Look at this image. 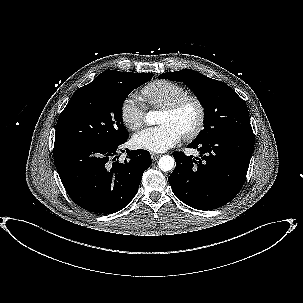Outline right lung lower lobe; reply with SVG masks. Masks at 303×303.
I'll return each instance as SVG.
<instances>
[{
    "label": "right lung lower lobe",
    "mask_w": 303,
    "mask_h": 303,
    "mask_svg": "<svg viewBox=\"0 0 303 303\" xmlns=\"http://www.w3.org/2000/svg\"><path fill=\"white\" fill-rule=\"evenodd\" d=\"M126 140L112 144L82 141L54 144L56 169L74 203L105 215L131 202L144 171L151 165V156L142 149L127 151V159L120 163L116 151Z\"/></svg>",
    "instance_id": "98d812e1"
}]
</instances>
